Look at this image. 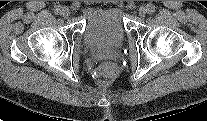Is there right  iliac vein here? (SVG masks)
Listing matches in <instances>:
<instances>
[{"instance_id": "right-iliac-vein-1", "label": "right iliac vein", "mask_w": 207, "mask_h": 121, "mask_svg": "<svg viewBox=\"0 0 207 121\" xmlns=\"http://www.w3.org/2000/svg\"><path fill=\"white\" fill-rule=\"evenodd\" d=\"M61 15L64 17V18H68L70 16V10L66 7H63L62 8V12H61Z\"/></svg>"}]
</instances>
